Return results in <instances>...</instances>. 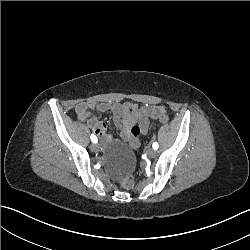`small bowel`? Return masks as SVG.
Returning a JSON list of instances; mask_svg holds the SVG:
<instances>
[{
	"instance_id": "obj_1",
	"label": "small bowel",
	"mask_w": 250,
	"mask_h": 250,
	"mask_svg": "<svg viewBox=\"0 0 250 250\" xmlns=\"http://www.w3.org/2000/svg\"><path fill=\"white\" fill-rule=\"evenodd\" d=\"M161 107V106H160ZM145 107H134L128 103L125 104H105V103H86L80 102L76 105L75 109L79 116L89 118L90 125L95 134L106 143L114 141V136L107 132V124L97 118L90 117V111L95 110L98 112H105L110 110L113 114L115 125L120 131V139L128 141L131 139V130L133 127H138L140 134H146L149 129L150 119L157 120L145 115Z\"/></svg>"
}]
</instances>
